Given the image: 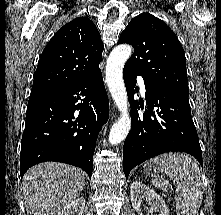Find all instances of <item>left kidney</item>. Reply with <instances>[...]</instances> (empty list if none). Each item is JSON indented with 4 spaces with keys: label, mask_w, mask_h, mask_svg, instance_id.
I'll return each instance as SVG.
<instances>
[{
    "label": "left kidney",
    "mask_w": 221,
    "mask_h": 215,
    "mask_svg": "<svg viewBox=\"0 0 221 215\" xmlns=\"http://www.w3.org/2000/svg\"><path fill=\"white\" fill-rule=\"evenodd\" d=\"M130 197L132 207L137 212H140L141 204L146 199L149 205L159 212V215H169V210L161 196L140 181H135L131 184Z\"/></svg>",
    "instance_id": "1"
}]
</instances>
